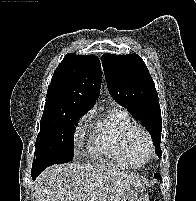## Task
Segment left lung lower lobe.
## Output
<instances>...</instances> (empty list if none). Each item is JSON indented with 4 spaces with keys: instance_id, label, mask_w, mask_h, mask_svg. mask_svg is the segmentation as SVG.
I'll use <instances>...</instances> for the list:
<instances>
[{
    "instance_id": "0a47b994",
    "label": "left lung lower lobe",
    "mask_w": 196,
    "mask_h": 201,
    "mask_svg": "<svg viewBox=\"0 0 196 201\" xmlns=\"http://www.w3.org/2000/svg\"><path fill=\"white\" fill-rule=\"evenodd\" d=\"M154 176H155L157 179H160V180L162 179L159 173H155Z\"/></svg>"
}]
</instances>
